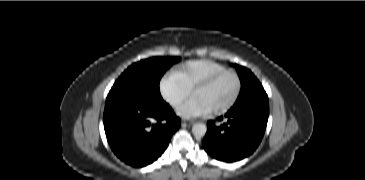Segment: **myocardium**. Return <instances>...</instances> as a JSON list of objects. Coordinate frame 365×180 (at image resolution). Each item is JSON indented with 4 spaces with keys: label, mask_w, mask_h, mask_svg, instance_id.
<instances>
[{
    "label": "myocardium",
    "mask_w": 365,
    "mask_h": 180,
    "mask_svg": "<svg viewBox=\"0 0 365 180\" xmlns=\"http://www.w3.org/2000/svg\"><path fill=\"white\" fill-rule=\"evenodd\" d=\"M226 75H233L235 77L236 82H237L236 90L228 102H226L222 106L211 109V111L215 114H219V113L228 111L237 102V100L241 94V91H242V79H241L240 75L235 70L228 69V70L222 71V72L212 76L211 78L205 80L194 90V95H196L199 91L213 85L214 83H216L217 81H219L221 78H223Z\"/></svg>",
    "instance_id": "myocardium-1"
}]
</instances>
